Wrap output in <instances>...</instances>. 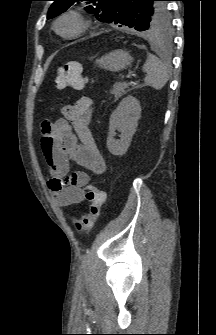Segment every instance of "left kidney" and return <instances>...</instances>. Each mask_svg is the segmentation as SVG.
Returning a JSON list of instances; mask_svg holds the SVG:
<instances>
[{
  "label": "left kidney",
  "mask_w": 216,
  "mask_h": 335,
  "mask_svg": "<svg viewBox=\"0 0 216 335\" xmlns=\"http://www.w3.org/2000/svg\"><path fill=\"white\" fill-rule=\"evenodd\" d=\"M141 111L139 101L135 97L128 96L122 99L116 110L111 114L107 148L114 156H123L128 150L136 132ZM116 130L121 133L120 140L114 138Z\"/></svg>",
  "instance_id": "left-kidney-1"
}]
</instances>
